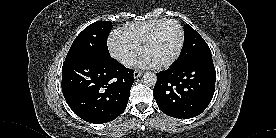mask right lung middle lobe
I'll return each instance as SVG.
<instances>
[{"label": "right lung middle lobe", "mask_w": 276, "mask_h": 138, "mask_svg": "<svg viewBox=\"0 0 276 138\" xmlns=\"http://www.w3.org/2000/svg\"><path fill=\"white\" fill-rule=\"evenodd\" d=\"M112 29V22L97 21L86 27L74 40L66 59L78 55L110 56L107 47L108 34Z\"/></svg>", "instance_id": "dd1d6c3e"}]
</instances>
